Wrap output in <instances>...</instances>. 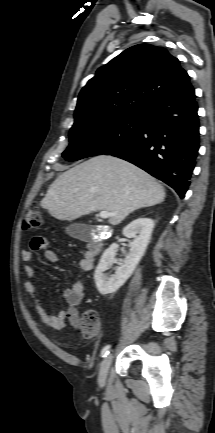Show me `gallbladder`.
<instances>
[{
    "mask_svg": "<svg viewBox=\"0 0 215 433\" xmlns=\"http://www.w3.org/2000/svg\"><path fill=\"white\" fill-rule=\"evenodd\" d=\"M66 233L79 240H88L90 237L91 228L84 223H73L66 227Z\"/></svg>",
    "mask_w": 215,
    "mask_h": 433,
    "instance_id": "gallbladder-1",
    "label": "gallbladder"
}]
</instances>
